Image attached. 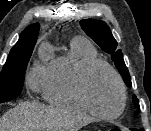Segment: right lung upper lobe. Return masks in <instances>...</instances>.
<instances>
[{
    "label": "right lung upper lobe",
    "instance_id": "right-lung-upper-lobe-1",
    "mask_svg": "<svg viewBox=\"0 0 151 131\" xmlns=\"http://www.w3.org/2000/svg\"><path fill=\"white\" fill-rule=\"evenodd\" d=\"M40 26L38 23L29 25L27 28H25L20 37L18 42L14 45L13 48H19L31 44H35L38 37Z\"/></svg>",
    "mask_w": 151,
    "mask_h": 131
}]
</instances>
